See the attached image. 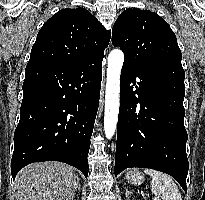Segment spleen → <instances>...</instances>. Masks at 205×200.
<instances>
[{"label": "spleen", "mask_w": 205, "mask_h": 200, "mask_svg": "<svg viewBox=\"0 0 205 200\" xmlns=\"http://www.w3.org/2000/svg\"><path fill=\"white\" fill-rule=\"evenodd\" d=\"M144 172L152 177L151 190L162 200H182L178 186L166 173L153 169H145Z\"/></svg>", "instance_id": "1"}]
</instances>
